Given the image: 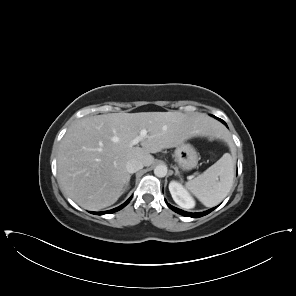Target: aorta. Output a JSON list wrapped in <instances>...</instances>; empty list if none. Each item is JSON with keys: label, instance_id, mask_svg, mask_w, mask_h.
<instances>
[{"label": "aorta", "instance_id": "1", "mask_svg": "<svg viewBox=\"0 0 296 296\" xmlns=\"http://www.w3.org/2000/svg\"><path fill=\"white\" fill-rule=\"evenodd\" d=\"M167 166L166 165H158L155 167L154 169V174L157 176V177H165L166 174H167Z\"/></svg>", "mask_w": 296, "mask_h": 296}]
</instances>
